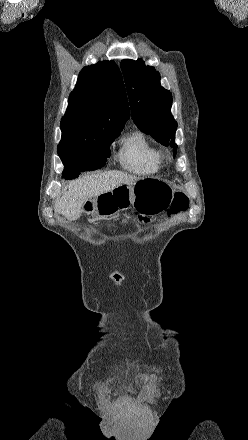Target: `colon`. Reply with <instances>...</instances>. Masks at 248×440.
I'll use <instances>...</instances> for the list:
<instances>
[{
	"label": "colon",
	"mask_w": 248,
	"mask_h": 440,
	"mask_svg": "<svg viewBox=\"0 0 248 440\" xmlns=\"http://www.w3.org/2000/svg\"><path fill=\"white\" fill-rule=\"evenodd\" d=\"M189 207V200L186 196V194L182 191H178L175 193L171 208L169 209V214H178L183 211H186Z\"/></svg>",
	"instance_id": "5ec220e1"
}]
</instances>
